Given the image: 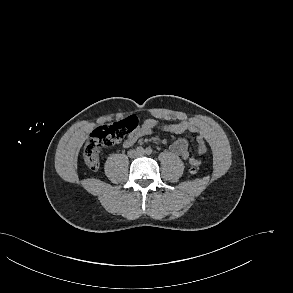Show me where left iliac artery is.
<instances>
[{
    "label": "left iliac artery",
    "mask_w": 293,
    "mask_h": 293,
    "mask_svg": "<svg viewBox=\"0 0 293 293\" xmlns=\"http://www.w3.org/2000/svg\"><path fill=\"white\" fill-rule=\"evenodd\" d=\"M145 152L147 155H150L152 153V149L150 147H147Z\"/></svg>",
    "instance_id": "left-iliac-artery-1"
}]
</instances>
